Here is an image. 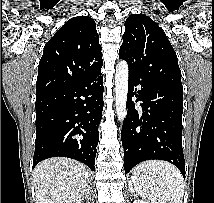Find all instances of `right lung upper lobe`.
Wrapping results in <instances>:
<instances>
[{"mask_svg": "<svg viewBox=\"0 0 214 203\" xmlns=\"http://www.w3.org/2000/svg\"><path fill=\"white\" fill-rule=\"evenodd\" d=\"M101 49L92 18L78 16L68 20L44 47L36 97L99 72L103 65Z\"/></svg>", "mask_w": 214, "mask_h": 203, "instance_id": "1", "label": "right lung upper lobe"}]
</instances>
